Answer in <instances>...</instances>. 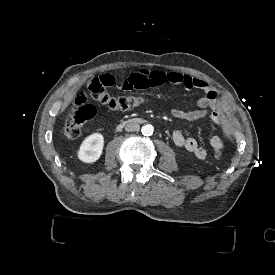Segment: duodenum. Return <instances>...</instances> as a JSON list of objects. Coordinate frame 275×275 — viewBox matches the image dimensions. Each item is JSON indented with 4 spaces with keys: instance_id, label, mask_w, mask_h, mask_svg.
<instances>
[{
    "instance_id": "duodenum-1",
    "label": "duodenum",
    "mask_w": 275,
    "mask_h": 275,
    "mask_svg": "<svg viewBox=\"0 0 275 275\" xmlns=\"http://www.w3.org/2000/svg\"><path fill=\"white\" fill-rule=\"evenodd\" d=\"M143 121L144 120L142 118H129V119L123 120L120 123V126H127V125H131V124H142Z\"/></svg>"
}]
</instances>
